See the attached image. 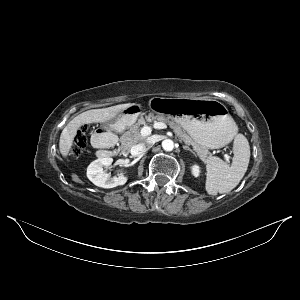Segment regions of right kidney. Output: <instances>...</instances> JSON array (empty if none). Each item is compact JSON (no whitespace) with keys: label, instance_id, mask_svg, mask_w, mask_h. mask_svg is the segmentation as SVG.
Listing matches in <instances>:
<instances>
[{"label":"right kidney","instance_id":"1","mask_svg":"<svg viewBox=\"0 0 300 300\" xmlns=\"http://www.w3.org/2000/svg\"><path fill=\"white\" fill-rule=\"evenodd\" d=\"M113 162L111 157H100L93 161L87 168V177L98 187L114 188L119 185H124L127 182V176L123 173L118 176L111 177L103 171L104 166H110Z\"/></svg>","mask_w":300,"mask_h":300}]
</instances>
